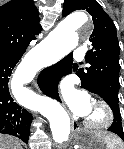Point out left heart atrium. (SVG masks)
<instances>
[{
	"label": "left heart atrium",
	"instance_id": "1",
	"mask_svg": "<svg viewBox=\"0 0 124 149\" xmlns=\"http://www.w3.org/2000/svg\"><path fill=\"white\" fill-rule=\"evenodd\" d=\"M59 91L69 108L76 115L88 116L92 109V104L86 92L76 90L68 80L61 82Z\"/></svg>",
	"mask_w": 124,
	"mask_h": 149
}]
</instances>
